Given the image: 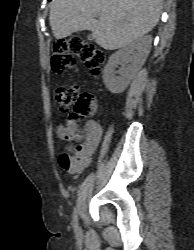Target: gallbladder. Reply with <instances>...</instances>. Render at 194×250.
<instances>
[{
  "label": "gallbladder",
  "instance_id": "gallbladder-1",
  "mask_svg": "<svg viewBox=\"0 0 194 250\" xmlns=\"http://www.w3.org/2000/svg\"><path fill=\"white\" fill-rule=\"evenodd\" d=\"M87 38L92 39L93 38L92 34L88 35Z\"/></svg>",
  "mask_w": 194,
  "mask_h": 250
}]
</instances>
